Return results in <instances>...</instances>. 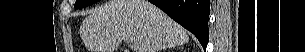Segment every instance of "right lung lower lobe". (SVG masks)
Returning <instances> with one entry per match:
<instances>
[{
	"mask_svg": "<svg viewBox=\"0 0 305 52\" xmlns=\"http://www.w3.org/2000/svg\"><path fill=\"white\" fill-rule=\"evenodd\" d=\"M192 32L206 49L209 39V0H148Z\"/></svg>",
	"mask_w": 305,
	"mask_h": 52,
	"instance_id": "98d812e1",
	"label": "right lung lower lobe"
}]
</instances>
